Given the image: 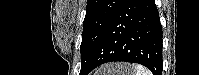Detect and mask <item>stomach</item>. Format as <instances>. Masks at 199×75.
<instances>
[{"label": "stomach", "mask_w": 199, "mask_h": 75, "mask_svg": "<svg viewBox=\"0 0 199 75\" xmlns=\"http://www.w3.org/2000/svg\"><path fill=\"white\" fill-rule=\"evenodd\" d=\"M111 68H114L115 70L112 71ZM130 69H131V66L126 65V64H119V63L110 64V65L105 66L103 75H129Z\"/></svg>", "instance_id": "obj_1"}]
</instances>
